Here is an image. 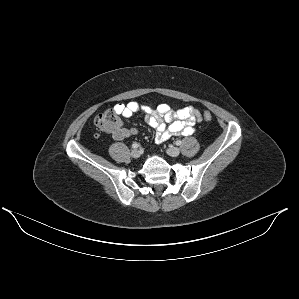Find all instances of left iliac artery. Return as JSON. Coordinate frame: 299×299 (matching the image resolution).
I'll use <instances>...</instances> for the list:
<instances>
[{"label": "left iliac artery", "instance_id": "1", "mask_svg": "<svg viewBox=\"0 0 299 299\" xmlns=\"http://www.w3.org/2000/svg\"><path fill=\"white\" fill-rule=\"evenodd\" d=\"M175 144H176V145H181L182 142H181L180 140H177V141L175 142Z\"/></svg>", "mask_w": 299, "mask_h": 299}]
</instances>
